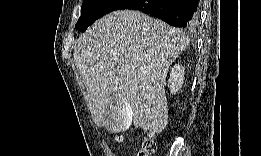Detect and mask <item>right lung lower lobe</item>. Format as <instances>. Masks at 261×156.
I'll list each match as a JSON object with an SVG mask.
<instances>
[{
    "mask_svg": "<svg viewBox=\"0 0 261 156\" xmlns=\"http://www.w3.org/2000/svg\"><path fill=\"white\" fill-rule=\"evenodd\" d=\"M119 9L139 10L172 26L189 28L197 19L198 0H128Z\"/></svg>",
    "mask_w": 261,
    "mask_h": 156,
    "instance_id": "obj_1",
    "label": "right lung lower lobe"
}]
</instances>
